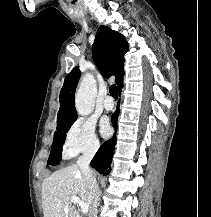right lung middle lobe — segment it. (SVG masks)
Listing matches in <instances>:
<instances>
[{
	"label": "right lung middle lobe",
	"mask_w": 211,
	"mask_h": 217,
	"mask_svg": "<svg viewBox=\"0 0 211 217\" xmlns=\"http://www.w3.org/2000/svg\"><path fill=\"white\" fill-rule=\"evenodd\" d=\"M74 121L69 122L61 127L57 128V132L54 134V141L51 148V154L48 159V164L57 165L60 163L62 154V145L66 138V134Z\"/></svg>",
	"instance_id": "1"
}]
</instances>
